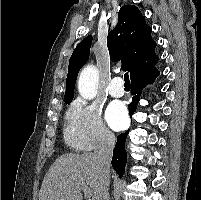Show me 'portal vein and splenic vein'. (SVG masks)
Segmentation results:
<instances>
[{"label":"portal vein and splenic vein","mask_w":201,"mask_h":200,"mask_svg":"<svg viewBox=\"0 0 201 200\" xmlns=\"http://www.w3.org/2000/svg\"><path fill=\"white\" fill-rule=\"evenodd\" d=\"M82 190H83V192H84L85 197L90 200V197H91V192H90V190H89L86 186H83V187H82Z\"/></svg>","instance_id":"obj_1"}]
</instances>
